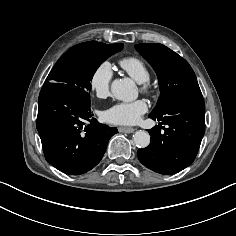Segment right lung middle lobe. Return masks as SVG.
<instances>
[{"label":"right lung middle lobe","instance_id":"dd1d6c3e","mask_svg":"<svg viewBox=\"0 0 236 236\" xmlns=\"http://www.w3.org/2000/svg\"><path fill=\"white\" fill-rule=\"evenodd\" d=\"M122 48V43L107 45L97 41L75 45L60 57L43 86L50 83L66 84L76 94L90 101L88 92L91 90V80L97 68Z\"/></svg>","mask_w":236,"mask_h":236}]
</instances>
